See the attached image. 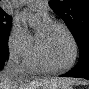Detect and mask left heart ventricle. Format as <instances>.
I'll list each match as a JSON object with an SVG mask.
<instances>
[{"label": "left heart ventricle", "instance_id": "obj_1", "mask_svg": "<svg viewBox=\"0 0 89 89\" xmlns=\"http://www.w3.org/2000/svg\"><path fill=\"white\" fill-rule=\"evenodd\" d=\"M38 39L47 61L54 67L69 64L73 57V46L66 32L59 26L50 24L43 30L38 26Z\"/></svg>", "mask_w": 89, "mask_h": 89}]
</instances>
